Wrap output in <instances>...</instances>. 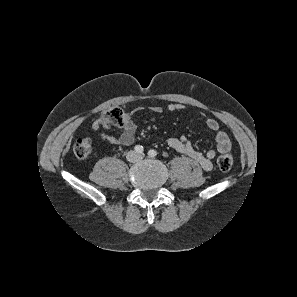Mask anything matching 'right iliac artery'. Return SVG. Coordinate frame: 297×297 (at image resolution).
Masks as SVG:
<instances>
[{
    "label": "right iliac artery",
    "instance_id": "obj_1",
    "mask_svg": "<svg viewBox=\"0 0 297 297\" xmlns=\"http://www.w3.org/2000/svg\"><path fill=\"white\" fill-rule=\"evenodd\" d=\"M135 151H136V153H143V146H141V145H136L135 146Z\"/></svg>",
    "mask_w": 297,
    "mask_h": 297
}]
</instances>
